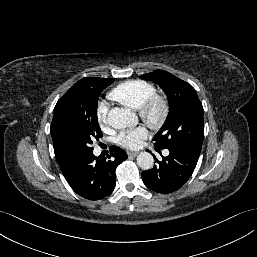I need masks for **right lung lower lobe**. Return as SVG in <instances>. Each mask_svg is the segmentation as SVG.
<instances>
[{"label":"right lung lower lobe","mask_w":257,"mask_h":257,"mask_svg":"<svg viewBox=\"0 0 257 257\" xmlns=\"http://www.w3.org/2000/svg\"><path fill=\"white\" fill-rule=\"evenodd\" d=\"M127 158L126 152L111 147L108 158L93 153L77 160L72 169L64 175L71 188L83 198L99 200L110 195L115 187V169Z\"/></svg>","instance_id":"1"}]
</instances>
